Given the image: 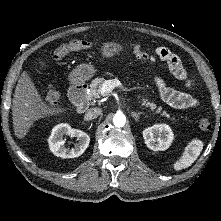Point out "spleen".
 Segmentation results:
<instances>
[{
	"label": "spleen",
	"instance_id": "3e777b00",
	"mask_svg": "<svg viewBox=\"0 0 221 221\" xmlns=\"http://www.w3.org/2000/svg\"><path fill=\"white\" fill-rule=\"evenodd\" d=\"M203 149V142L199 139H193L183 152L179 161L174 163V170L179 171L187 168L194 163Z\"/></svg>",
	"mask_w": 221,
	"mask_h": 221
}]
</instances>
